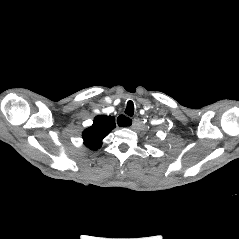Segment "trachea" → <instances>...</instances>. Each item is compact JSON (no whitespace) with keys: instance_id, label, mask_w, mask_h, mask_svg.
Wrapping results in <instances>:
<instances>
[{"instance_id":"3493384b","label":"trachea","mask_w":239,"mask_h":239,"mask_svg":"<svg viewBox=\"0 0 239 239\" xmlns=\"http://www.w3.org/2000/svg\"><path fill=\"white\" fill-rule=\"evenodd\" d=\"M125 114H127L128 116L132 117L134 114V104L132 101H128L127 102V106L125 109Z\"/></svg>"}]
</instances>
